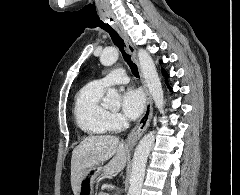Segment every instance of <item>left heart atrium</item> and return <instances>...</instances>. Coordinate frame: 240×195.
Instances as JSON below:
<instances>
[{
  "mask_svg": "<svg viewBox=\"0 0 240 195\" xmlns=\"http://www.w3.org/2000/svg\"><path fill=\"white\" fill-rule=\"evenodd\" d=\"M123 111L130 119L138 118L145 108V97L139 89H129L123 96Z\"/></svg>",
  "mask_w": 240,
  "mask_h": 195,
  "instance_id": "1",
  "label": "left heart atrium"
}]
</instances>
